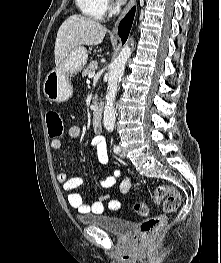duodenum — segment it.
Masks as SVG:
<instances>
[{
  "label": "duodenum",
  "mask_w": 221,
  "mask_h": 263,
  "mask_svg": "<svg viewBox=\"0 0 221 263\" xmlns=\"http://www.w3.org/2000/svg\"><path fill=\"white\" fill-rule=\"evenodd\" d=\"M93 128L97 132L102 131V106L99 104L92 120Z\"/></svg>",
  "instance_id": "1"
}]
</instances>
